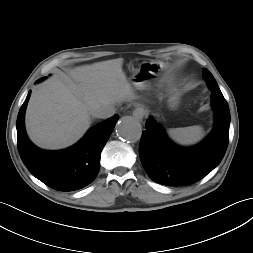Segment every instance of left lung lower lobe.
<instances>
[{"mask_svg": "<svg viewBox=\"0 0 253 253\" xmlns=\"http://www.w3.org/2000/svg\"><path fill=\"white\" fill-rule=\"evenodd\" d=\"M215 112L210 136L192 148L172 143L152 119L146 121L139 155L150 178L163 185L182 186L204 178L222 160L229 140L230 111L221 91H212Z\"/></svg>", "mask_w": 253, "mask_h": 253, "instance_id": "1", "label": "left lung lower lobe"}]
</instances>
